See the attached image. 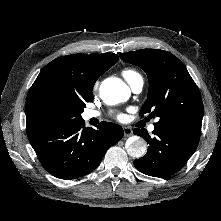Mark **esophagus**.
<instances>
[{
    "label": "esophagus",
    "mask_w": 221,
    "mask_h": 221,
    "mask_svg": "<svg viewBox=\"0 0 221 221\" xmlns=\"http://www.w3.org/2000/svg\"><path fill=\"white\" fill-rule=\"evenodd\" d=\"M123 131H124V136L125 137H129L133 134V131L130 127H124Z\"/></svg>",
    "instance_id": "esophagus-1"
}]
</instances>
